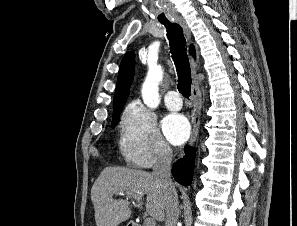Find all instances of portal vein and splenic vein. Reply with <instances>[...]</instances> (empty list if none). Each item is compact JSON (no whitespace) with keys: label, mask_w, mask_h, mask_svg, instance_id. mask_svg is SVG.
I'll return each mask as SVG.
<instances>
[{"label":"portal vein and splenic vein","mask_w":297,"mask_h":226,"mask_svg":"<svg viewBox=\"0 0 297 226\" xmlns=\"http://www.w3.org/2000/svg\"><path fill=\"white\" fill-rule=\"evenodd\" d=\"M133 199L135 200V201H137L138 203H140L141 202V197H133ZM155 220H154V218H152V217H148V218H146L145 220H144V225L145 226H155Z\"/></svg>","instance_id":"portal-vein-and-splenic-vein-1"}]
</instances>
